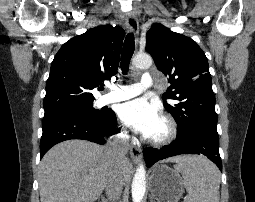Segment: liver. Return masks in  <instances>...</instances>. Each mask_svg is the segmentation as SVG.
I'll list each match as a JSON object with an SVG mask.
<instances>
[{
	"instance_id": "1",
	"label": "liver",
	"mask_w": 255,
	"mask_h": 202,
	"mask_svg": "<svg viewBox=\"0 0 255 202\" xmlns=\"http://www.w3.org/2000/svg\"><path fill=\"white\" fill-rule=\"evenodd\" d=\"M188 156H177L167 162H182ZM115 162L107 150L85 140H67L52 147L39 166L41 202H94L114 170ZM123 180L128 181L132 164L122 166Z\"/></svg>"
}]
</instances>
